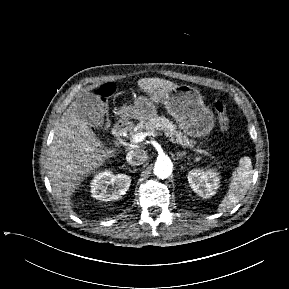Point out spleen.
I'll return each mask as SVG.
<instances>
[{"label": "spleen", "instance_id": "1", "mask_svg": "<svg viewBox=\"0 0 289 289\" xmlns=\"http://www.w3.org/2000/svg\"><path fill=\"white\" fill-rule=\"evenodd\" d=\"M253 170L249 157H243L239 161V167L233 173L229 184L227 195L219 205L218 211H226L232 209L242 200L252 182Z\"/></svg>", "mask_w": 289, "mask_h": 289}]
</instances>
